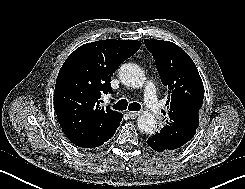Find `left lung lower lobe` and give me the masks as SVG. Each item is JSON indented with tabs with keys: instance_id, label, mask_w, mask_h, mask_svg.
Listing matches in <instances>:
<instances>
[{
	"instance_id": "1",
	"label": "left lung lower lobe",
	"mask_w": 245,
	"mask_h": 189,
	"mask_svg": "<svg viewBox=\"0 0 245 189\" xmlns=\"http://www.w3.org/2000/svg\"><path fill=\"white\" fill-rule=\"evenodd\" d=\"M147 144L157 152H172L178 148L164 137L159 132L150 136L147 140Z\"/></svg>"
}]
</instances>
